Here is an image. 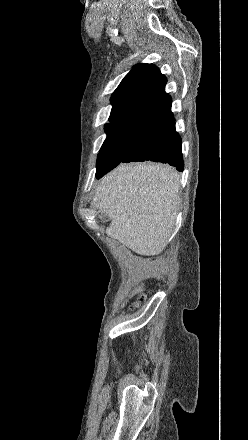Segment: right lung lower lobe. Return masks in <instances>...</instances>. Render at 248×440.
<instances>
[{"label":"right lung lower lobe","instance_id":"right-lung-lower-lobe-1","mask_svg":"<svg viewBox=\"0 0 248 440\" xmlns=\"http://www.w3.org/2000/svg\"><path fill=\"white\" fill-rule=\"evenodd\" d=\"M146 160L168 163L183 171L181 138L175 130L171 106L140 124L128 137L121 162Z\"/></svg>","mask_w":248,"mask_h":440}]
</instances>
